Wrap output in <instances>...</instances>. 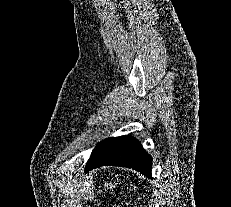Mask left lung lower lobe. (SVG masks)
Here are the masks:
<instances>
[{
    "instance_id": "obj_1",
    "label": "left lung lower lobe",
    "mask_w": 231,
    "mask_h": 207,
    "mask_svg": "<svg viewBox=\"0 0 231 207\" xmlns=\"http://www.w3.org/2000/svg\"><path fill=\"white\" fill-rule=\"evenodd\" d=\"M113 165L133 168L140 173L151 176L152 158L141 144L130 136L108 138L93 150L85 171Z\"/></svg>"
}]
</instances>
